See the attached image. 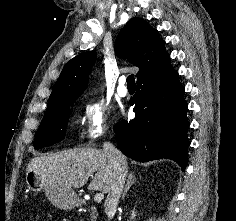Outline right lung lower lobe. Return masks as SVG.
Returning a JSON list of instances; mask_svg holds the SVG:
<instances>
[{
  "instance_id": "1",
  "label": "right lung lower lobe",
  "mask_w": 236,
  "mask_h": 221,
  "mask_svg": "<svg viewBox=\"0 0 236 221\" xmlns=\"http://www.w3.org/2000/svg\"><path fill=\"white\" fill-rule=\"evenodd\" d=\"M131 100L135 118L115 126L116 141L127 156L144 162L168 158L186 168L187 138L184 87L168 58L156 71L137 81Z\"/></svg>"
}]
</instances>
